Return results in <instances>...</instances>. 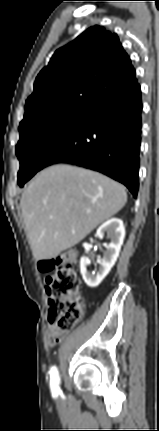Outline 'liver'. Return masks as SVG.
I'll return each instance as SVG.
<instances>
[{
  "mask_svg": "<svg viewBox=\"0 0 159 431\" xmlns=\"http://www.w3.org/2000/svg\"><path fill=\"white\" fill-rule=\"evenodd\" d=\"M123 185L94 171L58 164L38 173L21 196V211L36 260L51 259L119 212Z\"/></svg>",
  "mask_w": 159,
  "mask_h": 431,
  "instance_id": "6515ba94",
  "label": "liver"
}]
</instances>
